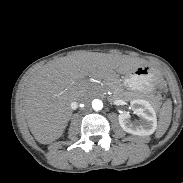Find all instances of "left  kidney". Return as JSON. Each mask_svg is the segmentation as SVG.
Returning <instances> with one entry per match:
<instances>
[{
    "instance_id": "left-kidney-1",
    "label": "left kidney",
    "mask_w": 183,
    "mask_h": 183,
    "mask_svg": "<svg viewBox=\"0 0 183 183\" xmlns=\"http://www.w3.org/2000/svg\"><path fill=\"white\" fill-rule=\"evenodd\" d=\"M134 113L141 117L140 121L132 122L129 114L123 112L119 114L118 120L122 129L130 134L139 136L152 135L157 127L156 112L152 105L143 99H134L130 102Z\"/></svg>"
}]
</instances>
